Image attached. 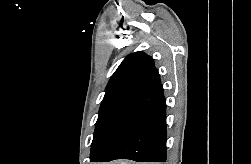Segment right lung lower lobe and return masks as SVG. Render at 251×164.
<instances>
[{
  "label": "right lung lower lobe",
  "instance_id": "1",
  "mask_svg": "<svg viewBox=\"0 0 251 164\" xmlns=\"http://www.w3.org/2000/svg\"><path fill=\"white\" fill-rule=\"evenodd\" d=\"M115 159L166 161V101L161 82L142 91L90 156L91 162Z\"/></svg>",
  "mask_w": 251,
  "mask_h": 164
}]
</instances>
